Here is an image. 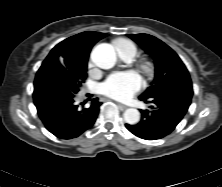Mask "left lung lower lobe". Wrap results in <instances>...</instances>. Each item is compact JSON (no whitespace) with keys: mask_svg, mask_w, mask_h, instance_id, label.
Listing matches in <instances>:
<instances>
[{"mask_svg":"<svg viewBox=\"0 0 222 187\" xmlns=\"http://www.w3.org/2000/svg\"><path fill=\"white\" fill-rule=\"evenodd\" d=\"M177 97H172L174 91L165 90L151 99L140 100L150 102L154 110H141L142 120L136 125L126 124V128L134 135L146 139H161L170 134L187 112L191 103L193 89L192 85L180 87Z\"/></svg>","mask_w":222,"mask_h":187,"instance_id":"0a47b994","label":"left lung lower lobe"}]
</instances>
